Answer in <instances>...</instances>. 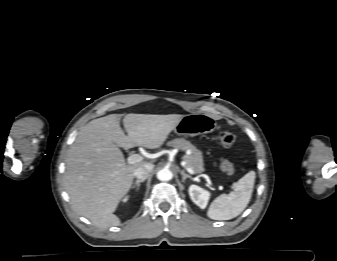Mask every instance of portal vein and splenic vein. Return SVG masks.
I'll use <instances>...</instances> for the list:
<instances>
[{
	"label": "portal vein and splenic vein",
	"mask_w": 337,
	"mask_h": 261,
	"mask_svg": "<svg viewBox=\"0 0 337 261\" xmlns=\"http://www.w3.org/2000/svg\"><path fill=\"white\" fill-rule=\"evenodd\" d=\"M142 160H143V157L139 154L130 155L127 159L128 164H135V163L141 162ZM186 170L190 174L195 175V172L191 167L186 166Z\"/></svg>",
	"instance_id": "obj_1"
}]
</instances>
